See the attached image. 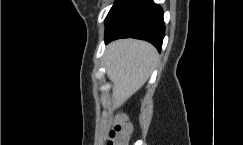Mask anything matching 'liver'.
I'll list each match as a JSON object with an SVG mask.
<instances>
[{"label": "liver", "mask_w": 243, "mask_h": 145, "mask_svg": "<svg viewBox=\"0 0 243 145\" xmlns=\"http://www.w3.org/2000/svg\"><path fill=\"white\" fill-rule=\"evenodd\" d=\"M157 55L156 49L145 41L121 39L108 45L105 67L107 76L113 83V109L124 104L144 85Z\"/></svg>", "instance_id": "obj_1"}]
</instances>
